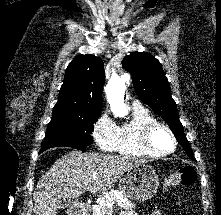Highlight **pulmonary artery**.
<instances>
[{
	"instance_id": "pulmonary-artery-1",
	"label": "pulmonary artery",
	"mask_w": 221,
	"mask_h": 215,
	"mask_svg": "<svg viewBox=\"0 0 221 215\" xmlns=\"http://www.w3.org/2000/svg\"><path fill=\"white\" fill-rule=\"evenodd\" d=\"M132 105H133L134 108L141 106L140 103H139L137 100L133 101V104H132Z\"/></svg>"
}]
</instances>
